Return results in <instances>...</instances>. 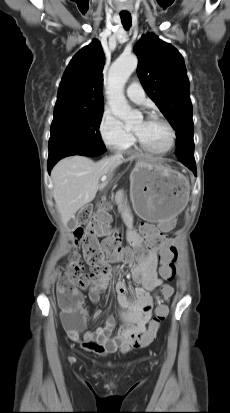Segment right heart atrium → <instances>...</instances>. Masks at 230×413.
Masks as SVG:
<instances>
[{
    "label": "right heart atrium",
    "mask_w": 230,
    "mask_h": 413,
    "mask_svg": "<svg viewBox=\"0 0 230 413\" xmlns=\"http://www.w3.org/2000/svg\"><path fill=\"white\" fill-rule=\"evenodd\" d=\"M98 130L102 142L111 149L120 151L129 147L133 142V135L109 111L103 112Z\"/></svg>",
    "instance_id": "1"
}]
</instances>
